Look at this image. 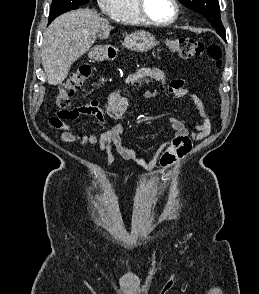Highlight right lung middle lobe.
<instances>
[{"label":"right lung middle lobe","instance_id":"obj_1","mask_svg":"<svg viewBox=\"0 0 259 294\" xmlns=\"http://www.w3.org/2000/svg\"><path fill=\"white\" fill-rule=\"evenodd\" d=\"M90 0H52L49 23L62 13L75 10L79 6L88 3Z\"/></svg>","mask_w":259,"mask_h":294}]
</instances>
